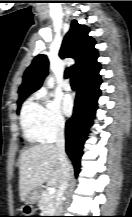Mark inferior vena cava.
Masks as SVG:
<instances>
[{"label": "inferior vena cava", "mask_w": 132, "mask_h": 217, "mask_svg": "<svg viewBox=\"0 0 132 217\" xmlns=\"http://www.w3.org/2000/svg\"><path fill=\"white\" fill-rule=\"evenodd\" d=\"M64 122H61L58 126L57 138H56V149L59 156L61 171L63 174V181L61 182L57 194V202H56V215L60 216L63 212V196L65 191L68 188L69 181L71 178L72 166L68 161L65 153V137H64Z\"/></svg>", "instance_id": "obj_1"}]
</instances>
